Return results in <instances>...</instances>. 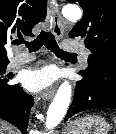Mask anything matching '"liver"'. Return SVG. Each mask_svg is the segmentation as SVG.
Wrapping results in <instances>:
<instances>
[{
  "instance_id": "1",
  "label": "liver",
  "mask_w": 116,
  "mask_h": 134,
  "mask_svg": "<svg viewBox=\"0 0 116 134\" xmlns=\"http://www.w3.org/2000/svg\"><path fill=\"white\" fill-rule=\"evenodd\" d=\"M0 134H17L7 123L0 121Z\"/></svg>"
}]
</instances>
